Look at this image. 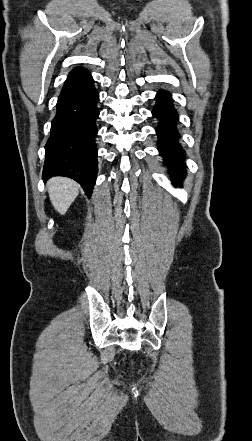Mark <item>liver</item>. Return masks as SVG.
<instances>
[{
  "instance_id": "1",
  "label": "liver",
  "mask_w": 252,
  "mask_h": 441,
  "mask_svg": "<svg viewBox=\"0 0 252 441\" xmlns=\"http://www.w3.org/2000/svg\"><path fill=\"white\" fill-rule=\"evenodd\" d=\"M47 189L52 205L61 215L79 194V184L66 177H53L47 182Z\"/></svg>"
}]
</instances>
